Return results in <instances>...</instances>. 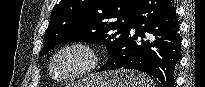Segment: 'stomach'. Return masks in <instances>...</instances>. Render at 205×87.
<instances>
[{
	"instance_id": "1",
	"label": "stomach",
	"mask_w": 205,
	"mask_h": 87,
	"mask_svg": "<svg viewBox=\"0 0 205 87\" xmlns=\"http://www.w3.org/2000/svg\"><path fill=\"white\" fill-rule=\"evenodd\" d=\"M149 78L134 70L105 71L89 76L88 78L70 87H150Z\"/></svg>"
}]
</instances>
